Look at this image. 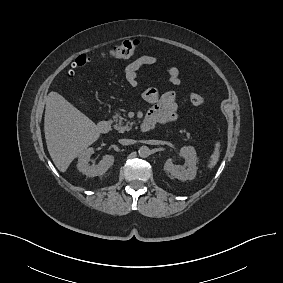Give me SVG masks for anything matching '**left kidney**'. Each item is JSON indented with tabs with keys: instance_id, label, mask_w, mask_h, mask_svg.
Masks as SVG:
<instances>
[{
	"instance_id": "left-kidney-1",
	"label": "left kidney",
	"mask_w": 283,
	"mask_h": 283,
	"mask_svg": "<svg viewBox=\"0 0 283 283\" xmlns=\"http://www.w3.org/2000/svg\"><path fill=\"white\" fill-rule=\"evenodd\" d=\"M179 156L185 159L187 169H184L179 165H175L172 159H168L164 164V170L178 180H193L197 173V156L194 147H182L179 152Z\"/></svg>"
}]
</instances>
